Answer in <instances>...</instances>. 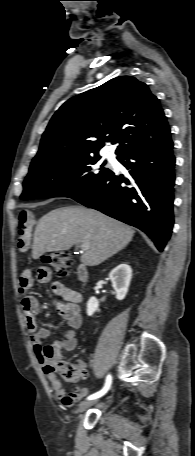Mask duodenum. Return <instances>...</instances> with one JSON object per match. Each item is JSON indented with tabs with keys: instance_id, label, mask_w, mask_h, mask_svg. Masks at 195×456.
Segmentation results:
<instances>
[{
	"instance_id": "duodenum-1",
	"label": "duodenum",
	"mask_w": 195,
	"mask_h": 456,
	"mask_svg": "<svg viewBox=\"0 0 195 456\" xmlns=\"http://www.w3.org/2000/svg\"><path fill=\"white\" fill-rule=\"evenodd\" d=\"M77 277L81 282H87L89 273L84 264H80L77 268Z\"/></svg>"
}]
</instances>
